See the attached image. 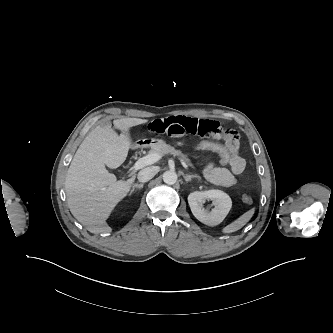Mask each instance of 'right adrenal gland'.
<instances>
[{"label": "right adrenal gland", "mask_w": 333, "mask_h": 333, "mask_svg": "<svg viewBox=\"0 0 333 333\" xmlns=\"http://www.w3.org/2000/svg\"><path fill=\"white\" fill-rule=\"evenodd\" d=\"M143 186H144V183H141V184H134V185L132 186V189H131L129 195H131V194L134 192L135 188L142 189Z\"/></svg>", "instance_id": "2a0ac1e0"}]
</instances>
